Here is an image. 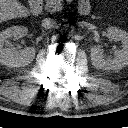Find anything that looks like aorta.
Wrapping results in <instances>:
<instances>
[{
    "mask_svg": "<svg viewBox=\"0 0 128 128\" xmlns=\"http://www.w3.org/2000/svg\"><path fill=\"white\" fill-rule=\"evenodd\" d=\"M61 33L63 35L70 36L73 33V28L71 26H69V25H64L61 28Z\"/></svg>",
    "mask_w": 128,
    "mask_h": 128,
    "instance_id": "obj_1",
    "label": "aorta"
}]
</instances>
